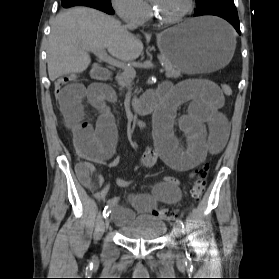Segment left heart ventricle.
Returning <instances> with one entry per match:
<instances>
[{
    "label": "left heart ventricle",
    "instance_id": "left-heart-ventricle-1",
    "mask_svg": "<svg viewBox=\"0 0 279 279\" xmlns=\"http://www.w3.org/2000/svg\"><path fill=\"white\" fill-rule=\"evenodd\" d=\"M156 12L164 18L178 16L186 7L187 0H149Z\"/></svg>",
    "mask_w": 279,
    "mask_h": 279
}]
</instances>
